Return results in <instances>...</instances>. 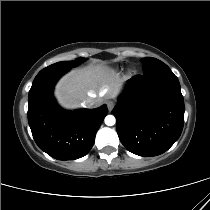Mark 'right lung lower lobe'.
Returning <instances> with one entry per match:
<instances>
[{"label":"right lung lower lobe","mask_w":210,"mask_h":210,"mask_svg":"<svg viewBox=\"0 0 210 210\" xmlns=\"http://www.w3.org/2000/svg\"><path fill=\"white\" fill-rule=\"evenodd\" d=\"M69 70L66 67L44 68L29 91L28 123L33 138L40 149L58 160L85 156L108 113L106 105L72 112L57 105L53 97L54 85Z\"/></svg>","instance_id":"right-lung-lower-lobe-1"}]
</instances>
